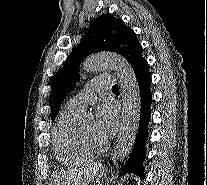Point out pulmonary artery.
Wrapping results in <instances>:
<instances>
[{"label": "pulmonary artery", "instance_id": "obj_1", "mask_svg": "<svg viewBox=\"0 0 207 185\" xmlns=\"http://www.w3.org/2000/svg\"><path fill=\"white\" fill-rule=\"evenodd\" d=\"M116 77H96V81H88V86H82V93L71 98L67 104L66 109L71 112H82L93 95L100 91H112Z\"/></svg>", "mask_w": 207, "mask_h": 185}]
</instances>
